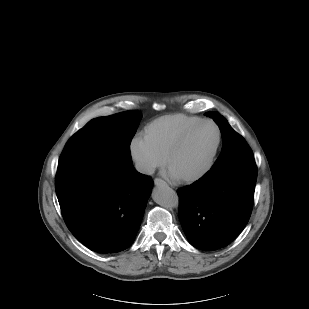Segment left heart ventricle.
<instances>
[{
  "instance_id": "1",
  "label": "left heart ventricle",
  "mask_w": 309,
  "mask_h": 309,
  "mask_svg": "<svg viewBox=\"0 0 309 309\" xmlns=\"http://www.w3.org/2000/svg\"><path fill=\"white\" fill-rule=\"evenodd\" d=\"M217 139L218 133L213 125L199 126L171 158L168 167L178 177L191 176L200 172L208 164Z\"/></svg>"
}]
</instances>
